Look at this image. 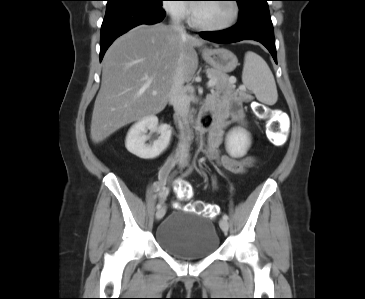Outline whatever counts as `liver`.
<instances>
[{
	"label": "liver",
	"mask_w": 365,
	"mask_h": 299,
	"mask_svg": "<svg viewBox=\"0 0 365 299\" xmlns=\"http://www.w3.org/2000/svg\"><path fill=\"white\" fill-rule=\"evenodd\" d=\"M203 43L162 23L140 25L119 37L103 59L91 120L92 141L100 143L123 126L161 112L177 68H182L183 82L193 78L198 68L194 47Z\"/></svg>",
	"instance_id": "6515ba94"
}]
</instances>
